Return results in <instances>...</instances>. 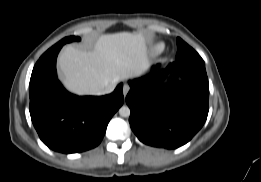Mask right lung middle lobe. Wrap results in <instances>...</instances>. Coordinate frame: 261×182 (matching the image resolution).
<instances>
[{
    "instance_id": "obj_1",
    "label": "right lung middle lobe",
    "mask_w": 261,
    "mask_h": 182,
    "mask_svg": "<svg viewBox=\"0 0 261 182\" xmlns=\"http://www.w3.org/2000/svg\"><path fill=\"white\" fill-rule=\"evenodd\" d=\"M80 38L76 37V36H70V37H65L64 39H62L61 41H59L57 44H62L64 45L65 43H69L72 41H79Z\"/></svg>"
}]
</instances>
